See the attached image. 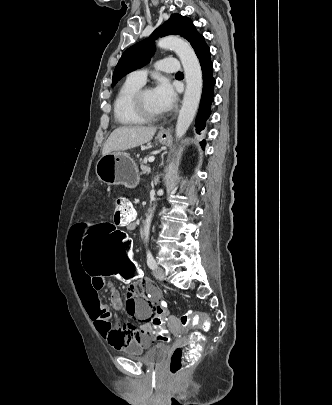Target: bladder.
Returning <instances> with one entry per match:
<instances>
[{
	"label": "bladder",
	"mask_w": 332,
	"mask_h": 405,
	"mask_svg": "<svg viewBox=\"0 0 332 405\" xmlns=\"http://www.w3.org/2000/svg\"><path fill=\"white\" fill-rule=\"evenodd\" d=\"M167 350L166 345L157 344L145 352L135 351L131 348H125L122 352L147 366H155L163 361Z\"/></svg>",
	"instance_id": "31cf9c89"
}]
</instances>
